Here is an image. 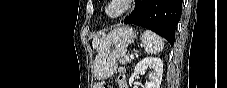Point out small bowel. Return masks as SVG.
I'll return each instance as SVG.
<instances>
[{"label": "small bowel", "mask_w": 227, "mask_h": 88, "mask_svg": "<svg viewBox=\"0 0 227 88\" xmlns=\"http://www.w3.org/2000/svg\"><path fill=\"white\" fill-rule=\"evenodd\" d=\"M120 75L117 78V86L119 88H129L124 68H119Z\"/></svg>", "instance_id": "small-bowel-1"}]
</instances>
